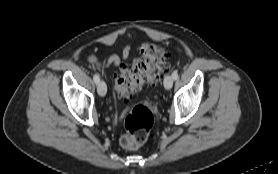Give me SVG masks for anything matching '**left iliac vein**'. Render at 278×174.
I'll return each instance as SVG.
<instances>
[{"instance_id": "obj_1", "label": "left iliac vein", "mask_w": 278, "mask_h": 174, "mask_svg": "<svg viewBox=\"0 0 278 174\" xmlns=\"http://www.w3.org/2000/svg\"><path fill=\"white\" fill-rule=\"evenodd\" d=\"M173 86V77L171 75H166L164 78V87L169 90Z\"/></svg>"}]
</instances>
